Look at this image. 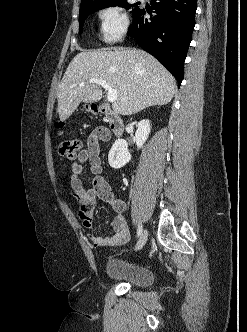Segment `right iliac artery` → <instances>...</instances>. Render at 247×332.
Instances as JSON below:
<instances>
[{"instance_id":"right-iliac-artery-1","label":"right iliac artery","mask_w":247,"mask_h":332,"mask_svg":"<svg viewBox=\"0 0 247 332\" xmlns=\"http://www.w3.org/2000/svg\"><path fill=\"white\" fill-rule=\"evenodd\" d=\"M142 225L139 223L138 230H137V236L139 237L142 234Z\"/></svg>"}]
</instances>
